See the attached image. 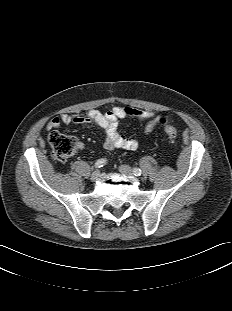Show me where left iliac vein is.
<instances>
[{
	"label": "left iliac vein",
	"mask_w": 232,
	"mask_h": 311,
	"mask_svg": "<svg viewBox=\"0 0 232 311\" xmlns=\"http://www.w3.org/2000/svg\"><path fill=\"white\" fill-rule=\"evenodd\" d=\"M119 171L123 174V175H126V176H133V171L132 169L127 166V165H121L119 167Z\"/></svg>",
	"instance_id": "left-iliac-vein-1"
}]
</instances>
